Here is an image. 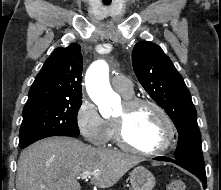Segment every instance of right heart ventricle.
Wrapping results in <instances>:
<instances>
[{
    "mask_svg": "<svg viewBox=\"0 0 221 190\" xmlns=\"http://www.w3.org/2000/svg\"><path fill=\"white\" fill-rule=\"evenodd\" d=\"M125 99H130L133 97V93L131 94H122ZM111 125V135H110V140L117 142V137H116V129L113 121H110Z\"/></svg>",
    "mask_w": 221,
    "mask_h": 190,
    "instance_id": "e07e8e85",
    "label": "right heart ventricle"
}]
</instances>
